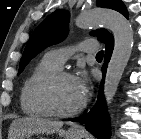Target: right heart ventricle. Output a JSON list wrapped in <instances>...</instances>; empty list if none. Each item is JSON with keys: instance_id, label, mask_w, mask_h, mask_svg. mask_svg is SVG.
Returning a JSON list of instances; mask_svg holds the SVG:
<instances>
[{"instance_id": "1", "label": "right heart ventricle", "mask_w": 141, "mask_h": 139, "mask_svg": "<svg viewBox=\"0 0 141 139\" xmlns=\"http://www.w3.org/2000/svg\"><path fill=\"white\" fill-rule=\"evenodd\" d=\"M58 70L60 68L45 57L33 68L21 88L20 105L24 114L39 118L49 116L40 99V88L43 82Z\"/></svg>"}]
</instances>
